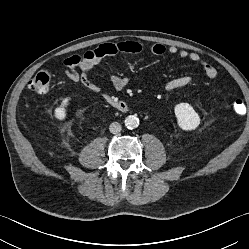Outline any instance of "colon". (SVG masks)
<instances>
[{
  "instance_id": "1",
  "label": "colon",
  "mask_w": 249,
  "mask_h": 249,
  "mask_svg": "<svg viewBox=\"0 0 249 249\" xmlns=\"http://www.w3.org/2000/svg\"><path fill=\"white\" fill-rule=\"evenodd\" d=\"M52 72L50 70L39 71L30 81L29 88L31 91L38 94H45L50 89ZM233 111L237 114H242L245 110V105L241 100H235L232 104Z\"/></svg>"
}]
</instances>
